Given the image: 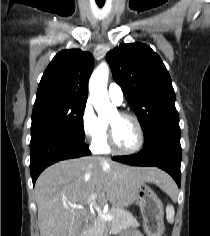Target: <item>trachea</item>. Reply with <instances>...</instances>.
Returning <instances> with one entry per match:
<instances>
[{"label": "trachea", "mask_w": 210, "mask_h": 236, "mask_svg": "<svg viewBox=\"0 0 210 236\" xmlns=\"http://www.w3.org/2000/svg\"><path fill=\"white\" fill-rule=\"evenodd\" d=\"M96 3L99 7H103L105 0H96Z\"/></svg>", "instance_id": "3493384b"}]
</instances>
